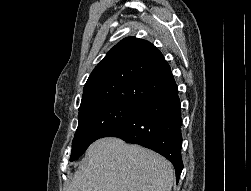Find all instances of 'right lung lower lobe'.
<instances>
[{
	"label": "right lung lower lobe",
	"mask_w": 251,
	"mask_h": 191,
	"mask_svg": "<svg viewBox=\"0 0 251 191\" xmlns=\"http://www.w3.org/2000/svg\"><path fill=\"white\" fill-rule=\"evenodd\" d=\"M181 126V104L175 83L103 137H117L127 143L150 148L166 157L175 168L178 183L183 169Z\"/></svg>",
	"instance_id": "obj_1"
}]
</instances>
